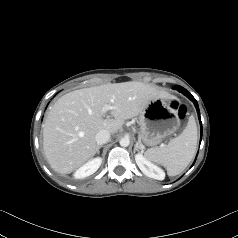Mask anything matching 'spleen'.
Wrapping results in <instances>:
<instances>
[{"label": "spleen", "instance_id": "1", "mask_svg": "<svg viewBox=\"0 0 238 238\" xmlns=\"http://www.w3.org/2000/svg\"><path fill=\"white\" fill-rule=\"evenodd\" d=\"M197 126L194 117H190L186 128L167 145L150 148L145 152L147 160L164 166L169 176H175L185 170L192 161L197 148Z\"/></svg>", "mask_w": 238, "mask_h": 238}]
</instances>
